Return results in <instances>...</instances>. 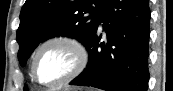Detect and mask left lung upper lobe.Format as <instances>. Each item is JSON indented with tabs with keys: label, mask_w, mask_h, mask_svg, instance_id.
Returning <instances> with one entry per match:
<instances>
[{
	"label": "left lung upper lobe",
	"mask_w": 173,
	"mask_h": 91,
	"mask_svg": "<svg viewBox=\"0 0 173 91\" xmlns=\"http://www.w3.org/2000/svg\"><path fill=\"white\" fill-rule=\"evenodd\" d=\"M107 0H26L17 30L18 57L22 66L38 44L62 35L89 43Z\"/></svg>",
	"instance_id": "1"
}]
</instances>
